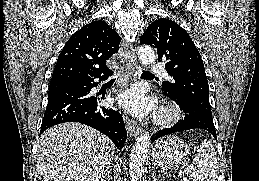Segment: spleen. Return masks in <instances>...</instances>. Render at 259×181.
Returning <instances> with one entry per match:
<instances>
[{"label":"spleen","mask_w":259,"mask_h":181,"mask_svg":"<svg viewBox=\"0 0 259 181\" xmlns=\"http://www.w3.org/2000/svg\"><path fill=\"white\" fill-rule=\"evenodd\" d=\"M197 152L193 164L186 169L187 176L192 181H217V158L212 143L203 140Z\"/></svg>","instance_id":"3e777b00"}]
</instances>
